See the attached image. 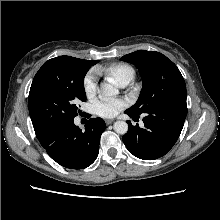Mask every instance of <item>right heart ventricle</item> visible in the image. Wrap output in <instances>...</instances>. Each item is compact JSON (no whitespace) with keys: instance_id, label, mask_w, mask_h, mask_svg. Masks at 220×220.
<instances>
[{"instance_id":"1","label":"right heart ventricle","mask_w":220,"mask_h":220,"mask_svg":"<svg viewBox=\"0 0 220 220\" xmlns=\"http://www.w3.org/2000/svg\"><path fill=\"white\" fill-rule=\"evenodd\" d=\"M116 85L121 86L124 83L129 84L135 77V71L132 66L126 63H114L106 67L99 68Z\"/></svg>"}]
</instances>
